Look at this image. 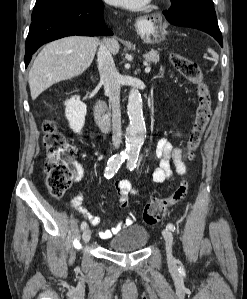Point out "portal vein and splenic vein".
<instances>
[{
  "label": "portal vein and splenic vein",
  "instance_id": "18ae733b",
  "mask_svg": "<svg viewBox=\"0 0 247 299\" xmlns=\"http://www.w3.org/2000/svg\"><path fill=\"white\" fill-rule=\"evenodd\" d=\"M150 70H151L150 66H149V65H146L145 72H146V73H149Z\"/></svg>",
  "mask_w": 247,
  "mask_h": 299
}]
</instances>
